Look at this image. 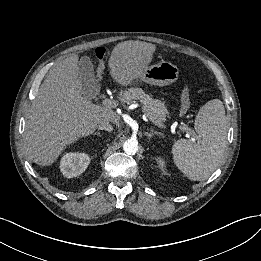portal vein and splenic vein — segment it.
Returning a JSON list of instances; mask_svg holds the SVG:
<instances>
[{
    "instance_id": "18ae733b",
    "label": "portal vein and splenic vein",
    "mask_w": 261,
    "mask_h": 261,
    "mask_svg": "<svg viewBox=\"0 0 261 261\" xmlns=\"http://www.w3.org/2000/svg\"><path fill=\"white\" fill-rule=\"evenodd\" d=\"M102 104L105 106V107H108V108H116L118 106V102L113 100V99H104L102 101ZM141 109H142V112L144 114V117L143 119L146 121V120H150L152 122H154V124L158 127H161V128H165V125H163L162 123H158L156 121H154V118L152 116V114L148 111V109L144 106V105H140ZM176 124H173L171 126V132L174 133L175 132V128H176ZM180 129L183 130V131H186L187 134H190L192 136H194V132L188 128V127H185V126H180ZM195 140V139H193Z\"/></svg>"
}]
</instances>
